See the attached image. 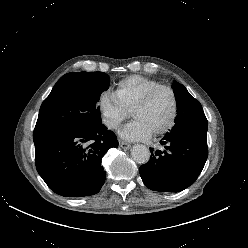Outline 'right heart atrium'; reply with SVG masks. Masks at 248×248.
I'll return each instance as SVG.
<instances>
[{"label":"right heart atrium","mask_w":248,"mask_h":248,"mask_svg":"<svg viewBox=\"0 0 248 248\" xmlns=\"http://www.w3.org/2000/svg\"><path fill=\"white\" fill-rule=\"evenodd\" d=\"M97 106L103 123L111 130L119 129L128 116V111L124 109L116 95L111 92H103L98 98Z\"/></svg>","instance_id":"1"}]
</instances>
